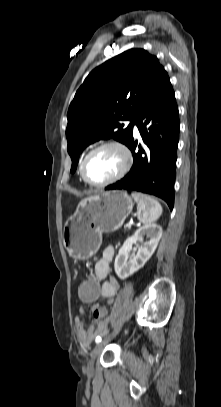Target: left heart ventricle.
<instances>
[{
    "mask_svg": "<svg viewBox=\"0 0 221 407\" xmlns=\"http://www.w3.org/2000/svg\"><path fill=\"white\" fill-rule=\"evenodd\" d=\"M124 164L122 153L116 148H105L88 161L86 173L93 182H103L119 173Z\"/></svg>",
    "mask_w": 221,
    "mask_h": 407,
    "instance_id": "obj_1",
    "label": "left heart ventricle"
}]
</instances>
